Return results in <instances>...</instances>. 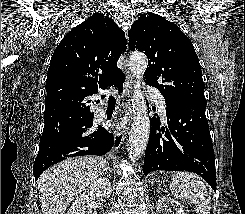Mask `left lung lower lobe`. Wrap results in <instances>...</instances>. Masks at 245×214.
I'll return each mask as SVG.
<instances>
[{
    "label": "left lung lower lobe",
    "instance_id": "0a47b994",
    "mask_svg": "<svg viewBox=\"0 0 245 214\" xmlns=\"http://www.w3.org/2000/svg\"><path fill=\"white\" fill-rule=\"evenodd\" d=\"M205 108L206 104L200 103H166V130L160 127L156 115L150 118L144 175L156 170L190 171L204 178L216 191L214 149Z\"/></svg>",
    "mask_w": 245,
    "mask_h": 214
}]
</instances>
